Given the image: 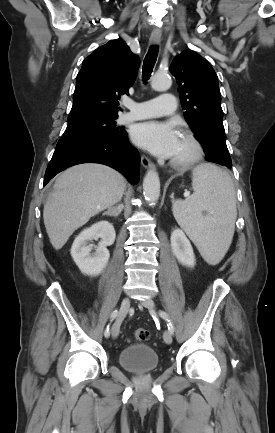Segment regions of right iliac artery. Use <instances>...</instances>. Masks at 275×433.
Masks as SVG:
<instances>
[{"label": "right iliac artery", "mask_w": 275, "mask_h": 433, "mask_svg": "<svg viewBox=\"0 0 275 433\" xmlns=\"http://www.w3.org/2000/svg\"><path fill=\"white\" fill-rule=\"evenodd\" d=\"M117 315H118V311H117V310H114V311L111 313V316H110L111 320L115 319V318L117 317ZM104 335H105V337H109V335H110L109 326H107V329L105 330Z\"/></svg>", "instance_id": "obj_1"}]
</instances>
